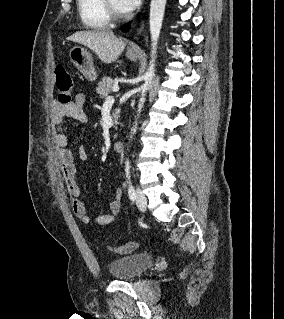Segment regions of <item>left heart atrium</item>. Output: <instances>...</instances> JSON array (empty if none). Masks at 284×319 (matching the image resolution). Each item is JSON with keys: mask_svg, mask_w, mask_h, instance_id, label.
Listing matches in <instances>:
<instances>
[{"mask_svg": "<svg viewBox=\"0 0 284 319\" xmlns=\"http://www.w3.org/2000/svg\"><path fill=\"white\" fill-rule=\"evenodd\" d=\"M141 1L142 0H119V4L125 12H131L141 4Z\"/></svg>", "mask_w": 284, "mask_h": 319, "instance_id": "left-heart-atrium-1", "label": "left heart atrium"}]
</instances>
